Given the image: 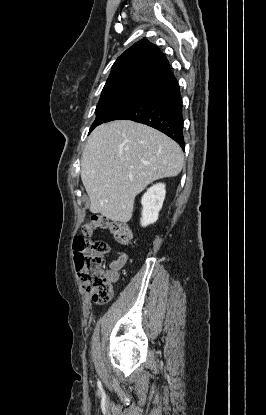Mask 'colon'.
<instances>
[{"label":"colon","instance_id":"obj_1","mask_svg":"<svg viewBox=\"0 0 266 415\" xmlns=\"http://www.w3.org/2000/svg\"><path fill=\"white\" fill-rule=\"evenodd\" d=\"M98 229L109 230L121 245L131 242L132 232L123 222L113 221L102 215H94L82 227L84 236H78L74 240V261L79 278L95 302H106L113 296L111 275L103 265L108 245L104 241L87 239Z\"/></svg>","mask_w":266,"mask_h":415}]
</instances>
